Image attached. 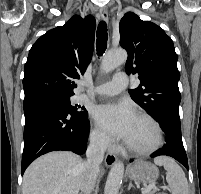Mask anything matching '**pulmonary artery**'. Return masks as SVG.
Here are the masks:
<instances>
[{
	"label": "pulmonary artery",
	"mask_w": 201,
	"mask_h": 194,
	"mask_svg": "<svg viewBox=\"0 0 201 194\" xmlns=\"http://www.w3.org/2000/svg\"><path fill=\"white\" fill-rule=\"evenodd\" d=\"M128 84V77L125 73L120 72L114 75L109 82L103 83L95 87L93 95L95 96H114L123 91ZM85 95L80 96V99L85 98Z\"/></svg>",
	"instance_id": "e3ab8cb5"
}]
</instances>
